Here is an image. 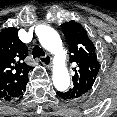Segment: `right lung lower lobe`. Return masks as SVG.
<instances>
[{"mask_svg": "<svg viewBox=\"0 0 117 117\" xmlns=\"http://www.w3.org/2000/svg\"><path fill=\"white\" fill-rule=\"evenodd\" d=\"M25 92V89H24V91L22 92V94L20 95V97L19 98H21L22 97V95H23V93Z\"/></svg>", "mask_w": 117, "mask_h": 117, "instance_id": "obj_1", "label": "right lung lower lobe"}]
</instances>
